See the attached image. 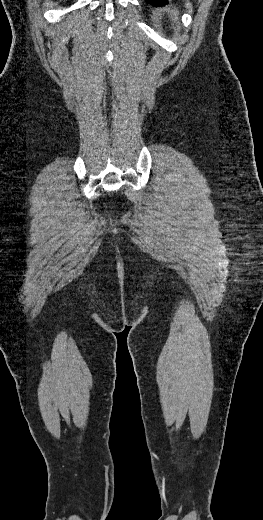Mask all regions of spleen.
Masks as SVG:
<instances>
[{"mask_svg":"<svg viewBox=\"0 0 263 520\" xmlns=\"http://www.w3.org/2000/svg\"><path fill=\"white\" fill-rule=\"evenodd\" d=\"M176 13H177V11H174V14H176Z\"/></svg>","mask_w":263,"mask_h":520,"instance_id":"1","label":"spleen"}]
</instances>
